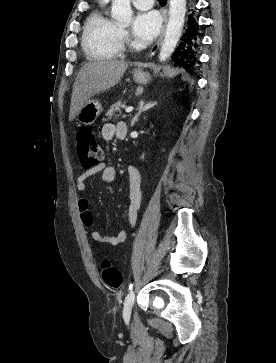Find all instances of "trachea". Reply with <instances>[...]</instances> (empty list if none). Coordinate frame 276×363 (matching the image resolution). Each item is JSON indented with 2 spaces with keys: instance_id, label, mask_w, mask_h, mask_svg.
<instances>
[{
  "instance_id": "1",
  "label": "trachea",
  "mask_w": 276,
  "mask_h": 363,
  "mask_svg": "<svg viewBox=\"0 0 276 363\" xmlns=\"http://www.w3.org/2000/svg\"><path fill=\"white\" fill-rule=\"evenodd\" d=\"M161 4H166L167 0H158Z\"/></svg>"
}]
</instances>
